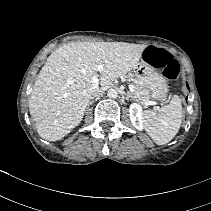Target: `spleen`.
<instances>
[{"mask_svg": "<svg viewBox=\"0 0 211 211\" xmlns=\"http://www.w3.org/2000/svg\"><path fill=\"white\" fill-rule=\"evenodd\" d=\"M182 122V105L179 96L174 95L170 104L161 107L157 112L145 111L144 128L158 145L170 142L178 133Z\"/></svg>", "mask_w": 211, "mask_h": 211, "instance_id": "obj_1", "label": "spleen"}]
</instances>
